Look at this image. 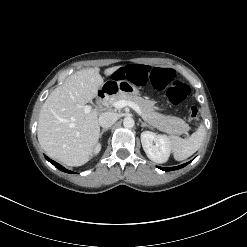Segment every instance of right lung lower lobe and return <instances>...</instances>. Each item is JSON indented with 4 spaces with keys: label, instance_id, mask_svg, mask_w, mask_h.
I'll use <instances>...</instances> for the list:
<instances>
[{
    "label": "right lung lower lobe",
    "instance_id": "98d812e1",
    "mask_svg": "<svg viewBox=\"0 0 247 247\" xmlns=\"http://www.w3.org/2000/svg\"><path fill=\"white\" fill-rule=\"evenodd\" d=\"M45 158L52 163L56 168H58L59 170L66 172V173H74L70 170L65 169L63 166H61L60 164L56 163L55 161L51 160L50 158H48L47 156H45Z\"/></svg>",
    "mask_w": 247,
    "mask_h": 247
}]
</instances>
